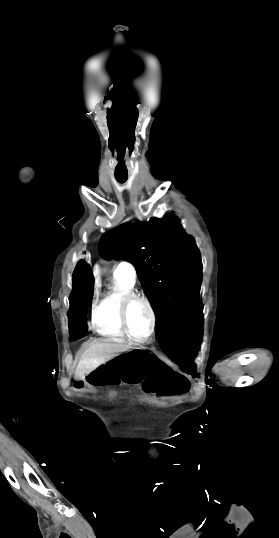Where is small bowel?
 Returning <instances> with one entry per match:
<instances>
[{
  "instance_id": "obj_1",
  "label": "small bowel",
  "mask_w": 279,
  "mask_h": 538,
  "mask_svg": "<svg viewBox=\"0 0 279 538\" xmlns=\"http://www.w3.org/2000/svg\"><path fill=\"white\" fill-rule=\"evenodd\" d=\"M142 388L148 394L167 398L184 395L189 391L190 383L172 369H158L144 377Z\"/></svg>"
}]
</instances>
